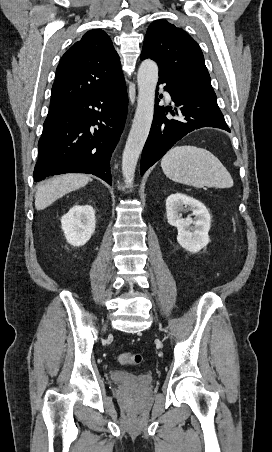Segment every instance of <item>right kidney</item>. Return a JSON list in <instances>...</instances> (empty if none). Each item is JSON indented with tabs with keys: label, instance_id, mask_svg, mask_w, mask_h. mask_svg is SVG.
I'll use <instances>...</instances> for the list:
<instances>
[{
	"label": "right kidney",
	"instance_id": "ca27d5eb",
	"mask_svg": "<svg viewBox=\"0 0 272 452\" xmlns=\"http://www.w3.org/2000/svg\"><path fill=\"white\" fill-rule=\"evenodd\" d=\"M61 225L67 242L82 246L95 232V210L90 205H75L62 216Z\"/></svg>",
	"mask_w": 272,
	"mask_h": 452
}]
</instances>
